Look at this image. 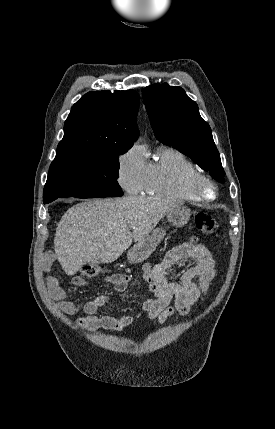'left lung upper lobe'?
<instances>
[{
    "instance_id": "obj_1",
    "label": "left lung upper lobe",
    "mask_w": 275,
    "mask_h": 429,
    "mask_svg": "<svg viewBox=\"0 0 275 429\" xmlns=\"http://www.w3.org/2000/svg\"><path fill=\"white\" fill-rule=\"evenodd\" d=\"M143 99L156 138L189 156L217 181L223 183L220 154L209 124L181 87L164 83L143 90Z\"/></svg>"
}]
</instances>
